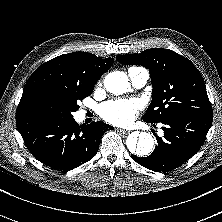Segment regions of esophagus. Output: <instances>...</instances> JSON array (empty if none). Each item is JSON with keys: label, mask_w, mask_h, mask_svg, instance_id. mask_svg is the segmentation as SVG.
I'll use <instances>...</instances> for the list:
<instances>
[{"label": "esophagus", "mask_w": 222, "mask_h": 222, "mask_svg": "<svg viewBox=\"0 0 222 222\" xmlns=\"http://www.w3.org/2000/svg\"><path fill=\"white\" fill-rule=\"evenodd\" d=\"M117 131L120 132V133H123V134H127V133L130 132L129 130L121 129V128H117Z\"/></svg>", "instance_id": "esophagus-1"}]
</instances>
